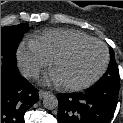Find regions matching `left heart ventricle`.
I'll use <instances>...</instances> for the list:
<instances>
[{"mask_svg":"<svg viewBox=\"0 0 123 123\" xmlns=\"http://www.w3.org/2000/svg\"><path fill=\"white\" fill-rule=\"evenodd\" d=\"M104 60V49L98 43H88L60 61L54 73L61 83L78 84L91 79Z\"/></svg>","mask_w":123,"mask_h":123,"instance_id":"obj_1","label":"left heart ventricle"}]
</instances>
